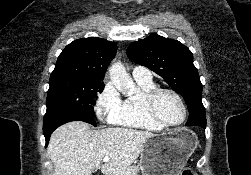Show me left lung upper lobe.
Listing matches in <instances>:
<instances>
[{"label":"left lung upper lobe","mask_w":251,"mask_h":175,"mask_svg":"<svg viewBox=\"0 0 251 175\" xmlns=\"http://www.w3.org/2000/svg\"><path fill=\"white\" fill-rule=\"evenodd\" d=\"M127 55L133 62L159 74L173 90L182 95L188 107H204L202 84L193 64V54L181 42L151 34L131 43ZM196 126L206 128V121Z\"/></svg>","instance_id":"obj_1"}]
</instances>
